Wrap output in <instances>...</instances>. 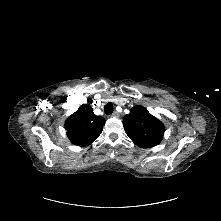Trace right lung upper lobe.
<instances>
[{
	"mask_svg": "<svg viewBox=\"0 0 221 221\" xmlns=\"http://www.w3.org/2000/svg\"><path fill=\"white\" fill-rule=\"evenodd\" d=\"M105 119L96 116L89 104H83L65 122L69 140L77 146H88L99 137Z\"/></svg>",
	"mask_w": 221,
	"mask_h": 221,
	"instance_id": "right-lung-upper-lobe-1",
	"label": "right lung upper lobe"
}]
</instances>
